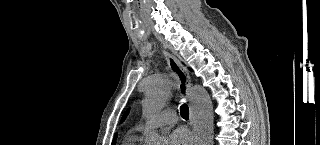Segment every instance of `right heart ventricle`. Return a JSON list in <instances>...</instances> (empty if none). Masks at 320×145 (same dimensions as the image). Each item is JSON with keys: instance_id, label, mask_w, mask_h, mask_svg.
Returning a JSON list of instances; mask_svg holds the SVG:
<instances>
[{"instance_id": "right-heart-ventricle-1", "label": "right heart ventricle", "mask_w": 320, "mask_h": 145, "mask_svg": "<svg viewBox=\"0 0 320 145\" xmlns=\"http://www.w3.org/2000/svg\"><path fill=\"white\" fill-rule=\"evenodd\" d=\"M138 138L136 137H128L124 142V145H137Z\"/></svg>"}]
</instances>
